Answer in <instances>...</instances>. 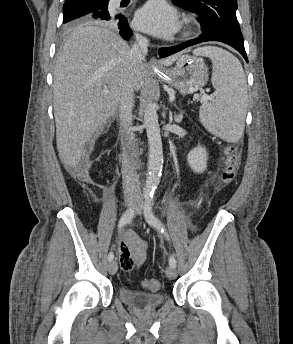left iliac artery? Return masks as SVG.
I'll return each mask as SVG.
<instances>
[{"label":"left iliac artery","mask_w":293,"mask_h":344,"mask_svg":"<svg viewBox=\"0 0 293 344\" xmlns=\"http://www.w3.org/2000/svg\"><path fill=\"white\" fill-rule=\"evenodd\" d=\"M152 204H153V196L146 197L145 204H144V214H145L146 221L148 222L149 225L157 229L159 232L163 233L166 236V238L169 240V235L165 231L163 224L154 215L152 211ZM169 265L172 267H176V260L173 256H170L169 258Z\"/></svg>","instance_id":"left-iliac-artery-1"}]
</instances>
